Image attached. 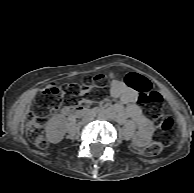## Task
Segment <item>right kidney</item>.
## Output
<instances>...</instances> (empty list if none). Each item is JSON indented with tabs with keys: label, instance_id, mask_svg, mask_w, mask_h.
Returning a JSON list of instances; mask_svg holds the SVG:
<instances>
[{
	"label": "right kidney",
	"instance_id": "1",
	"mask_svg": "<svg viewBox=\"0 0 194 193\" xmlns=\"http://www.w3.org/2000/svg\"><path fill=\"white\" fill-rule=\"evenodd\" d=\"M65 135L59 116L52 117L46 126V138L50 143L60 142Z\"/></svg>",
	"mask_w": 194,
	"mask_h": 193
}]
</instances>
